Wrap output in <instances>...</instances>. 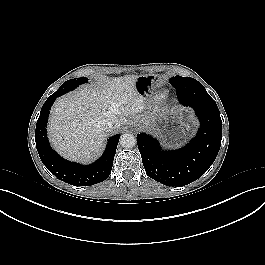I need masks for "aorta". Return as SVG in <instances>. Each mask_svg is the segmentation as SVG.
Segmentation results:
<instances>
[{
	"label": "aorta",
	"instance_id": "obj_1",
	"mask_svg": "<svg viewBox=\"0 0 265 265\" xmlns=\"http://www.w3.org/2000/svg\"><path fill=\"white\" fill-rule=\"evenodd\" d=\"M136 137L131 133H124L120 137V144L124 148H132L136 145Z\"/></svg>",
	"mask_w": 265,
	"mask_h": 265
}]
</instances>
